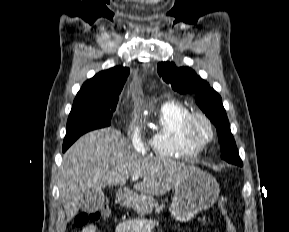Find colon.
Returning <instances> with one entry per match:
<instances>
[{
	"label": "colon",
	"instance_id": "obj_1",
	"mask_svg": "<svg viewBox=\"0 0 289 232\" xmlns=\"http://www.w3.org/2000/svg\"><path fill=\"white\" fill-rule=\"evenodd\" d=\"M221 216L225 222L227 232H237L235 222L228 212V199L221 196L217 202ZM110 215V210L107 205L103 206L100 210L93 212H82L78 214L74 220V227L79 228L86 226L89 222H100Z\"/></svg>",
	"mask_w": 289,
	"mask_h": 232
}]
</instances>
